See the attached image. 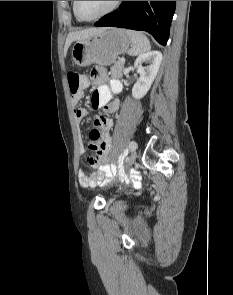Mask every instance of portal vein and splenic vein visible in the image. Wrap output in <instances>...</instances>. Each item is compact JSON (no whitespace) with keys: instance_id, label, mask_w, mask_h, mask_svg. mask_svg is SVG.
Returning <instances> with one entry per match:
<instances>
[{"instance_id":"18ae733b","label":"portal vein and splenic vein","mask_w":233,"mask_h":295,"mask_svg":"<svg viewBox=\"0 0 233 295\" xmlns=\"http://www.w3.org/2000/svg\"><path fill=\"white\" fill-rule=\"evenodd\" d=\"M120 61L124 62V61H125V59H124V58H121V59H120Z\"/></svg>"}]
</instances>
